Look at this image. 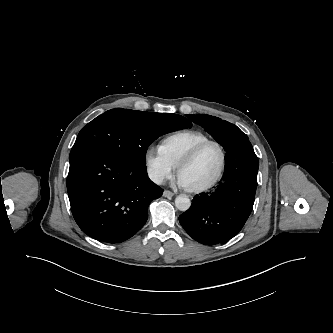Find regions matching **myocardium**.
Segmentation results:
<instances>
[{
	"instance_id": "1",
	"label": "myocardium",
	"mask_w": 333,
	"mask_h": 333,
	"mask_svg": "<svg viewBox=\"0 0 333 333\" xmlns=\"http://www.w3.org/2000/svg\"><path fill=\"white\" fill-rule=\"evenodd\" d=\"M208 146H215L220 154V163H219V167L218 170L216 172V174L214 175V177L207 182L206 184L199 186V187H185L186 191L190 192V193H203L205 191H208L209 189H211L213 186L216 185V183L220 180V178L222 177V174L224 172L225 169V163H226V154H225V150L223 148V146L217 142V141H213V140H207L204 141L198 145H196L178 164L177 166V174L178 177L180 176L181 171L187 167L188 165H190L196 158L197 156L201 153V151L203 149H205Z\"/></svg>"
}]
</instances>
